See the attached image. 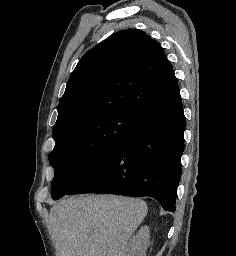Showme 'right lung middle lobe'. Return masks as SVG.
<instances>
[{
  "label": "right lung middle lobe",
  "instance_id": "dd1d6c3e",
  "mask_svg": "<svg viewBox=\"0 0 236 256\" xmlns=\"http://www.w3.org/2000/svg\"><path fill=\"white\" fill-rule=\"evenodd\" d=\"M127 112H115L72 124L54 133L49 162L55 168L52 198L66 195L139 123Z\"/></svg>",
  "mask_w": 236,
  "mask_h": 256
}]
</instances>
